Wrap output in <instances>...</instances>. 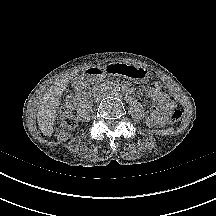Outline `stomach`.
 Returning <instances> with one entry per match:
<instances>
[{
	"mask_svg": "<svg viewBox=\"0 0 216 216\" xmlns=\"http://www.w3.org/2000/svg\"><path fill=\"white\" fill-rule=\"evenodd\" d=\"M107 71L110 74H117L120 79L127 78L135 83H144L149 77L148 71L143 67L118 62L108 64Z\"/></svg>",
	"mask_w": 216,
	"mask_h": 216,
	"instance_id": "stomach-1",
	"label": "stomach"
}]
</instances>
